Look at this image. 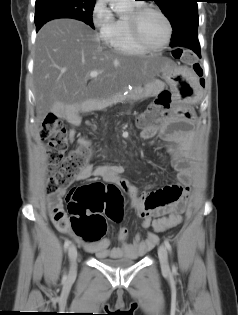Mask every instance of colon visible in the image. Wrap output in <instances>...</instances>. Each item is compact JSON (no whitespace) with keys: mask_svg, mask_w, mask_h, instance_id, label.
I'll use <instances>...</instances> for the list:
<instances>
[{"mask_svg":"<svg viewBox=\"0 0 238 315\" xmlns=\"http://www.w3.org/2000/svg\"><path fill=\"white\" fill-rule=\"evenodd\" d=\"M173 56L192 67L194 73L204 84L203 67L190 51L178 48ZM169 92H162L154 103L138 119L140 128L151 129L166 115L170 106ZM42 139L48 143L47 160L49 176L46 191L54 194L69 187L76 175L88 164L91 149L83 140L77 148L66 154L68 149L67 129L54 114H48L43 122ZM71 214L70 223L73 232L85 242L102 239L106 231L105 218L120 222L123 218L124 200L119 186L102 182H93L73 188L67 198ZM173 216H164L154 220L153 228L161 232L175 226Z\"/></svg>","mask_w":238,"mask_h":315,"instance_id":"obj_1","label":"colon"}]
</instances>
